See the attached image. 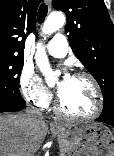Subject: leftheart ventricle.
<instances>
[{
    "label": "left heart ventricle",
    "instance_id": "obj_1",
    "mask_svg": "<svg viewBox=\"0 0 114 156\" xmlns=\"http://www.w3.org/2000/svg\"><path fill=\"white\" fill-rule=\"evenodd\" d=\"M59 98L63 109L72 115L89 114L96 105L93 86L85 78L71 77L64 85Z\"/></svg>",
    "mask_w": 114,
    "mask_h": 156
}]
</instances>
